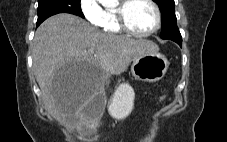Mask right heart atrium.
<instances>
[{
	"label": "right heart atrium",
	"instance_id": "obj_1",
	"mask_svg": "<svg viewBox=\"0 0 227 142\" xmlns=\"http://www.w3.org/2000/svg\"><path fill=\"white\" fill-rule=\"evenodd\" d=\"M79 8L83 17L93 25H99L102 16L103 8L98 0H79Z\"/></svg>",
	"mask_w": 227,
	"mask_h": 142
}]
</instances>
